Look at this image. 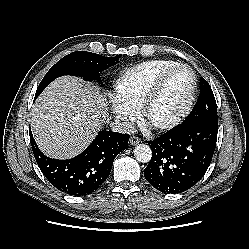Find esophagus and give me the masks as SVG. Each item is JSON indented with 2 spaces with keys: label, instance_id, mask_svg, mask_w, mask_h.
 <instances>
[{
  "label": "esophagus",
  "instance_id": "obj_1",
  "mask_svg": "<svg viewBox=\"0 0 249 249\" xmlns=\"http://www.w3.org/2000/svg\"><path fill=\"white\" fill-rule=\"evenodd\" d=\"M129 141L132 145H137L141 142V140L136 136H132Z\"/></svg>",
  "mask_w": 249,
  "mask_h": 249
}]
</instances>
